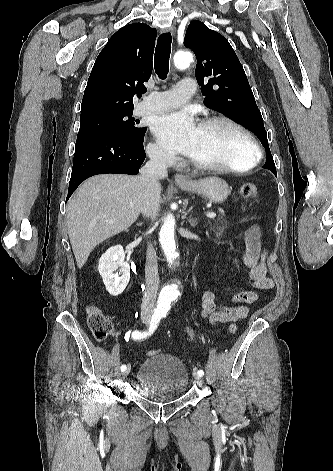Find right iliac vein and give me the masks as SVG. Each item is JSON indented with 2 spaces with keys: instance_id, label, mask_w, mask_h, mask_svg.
<instances>
[{
  "instance_id": "right-iliac-vein-1",
  "label": "right iliac vein",
  "mask_w": 333,
  "mask_h": 471,
  "mask_svg": "<svg viewBox=\"0 0 333 471\" xmlns=\"http://www.w3.org/2000/svg\"><path fill=\"white\" fill-rule=\"evenodd\" d=\"M141 321H142L143 323H148V322L150 321V317L147 316V315H143V316L141 317ZM130 371H131V366L129 365V366L126 368V370L123 372V377H124V378L127 377V376L129 375Z\"/></svg>"
}]
</instances>
